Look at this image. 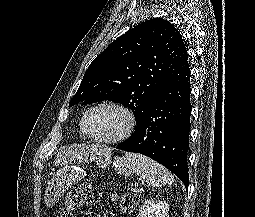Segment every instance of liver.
Listing matches in <instances>:
<instances>
[{
    "instance_id": "1",
    "label": "liver",
    "mask_w": 255,
    "mask_h": 217,
    "mask_svg": "<svg viewBox=\"0 0 255 217\" xmlns=\"http://www.w3.org/2000/svg\"><path fill=\"white\" fill-rule=\"evenodd\" d=\"M111 150L98 144L65 146L56 155L55 165H66L76 160L88 161L101 157L109 158Z\"/></svg>"
}]
</instances>
